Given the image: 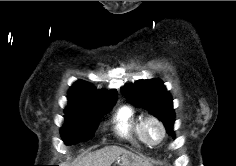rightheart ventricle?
Masks as SVG:
<instances>
[{
  "label": "right heart ventricle",
  "instance_id": "e07e8e85",
  "mask_svg": "<svg viewBox=\"0 0 236 166\" xmlns=\"http://www.w3.org/2000/svg\"><path fill=\"white\" fill-rule=\"evenodd\" d=\"M143 115L132 106H121L114 115L113 122L117 134L136 144H145L141 137L140 125Z\"/></svg>",
  "mask_w": 236,
  "mask_h": 166
}]
</instances>
